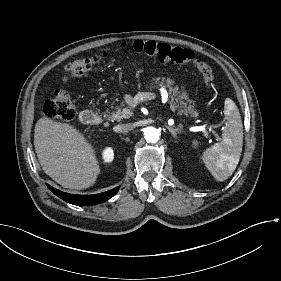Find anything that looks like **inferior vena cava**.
<instances>
[{
    "instance_id": "1",
    "label": "inferior vena cava",
    "mask_w": 281,
    "mask_h": 281,
    "mask_svg": "<svg viewBox=\"0 0 281 281\" xmlns=\"http://www.w3.org/2000/svg\"><path fill=\"white\" fill-rule=\"evenodd\" d=\"M123 130L128 131V127H124Z\"/></svg>"
}]
</instances>
